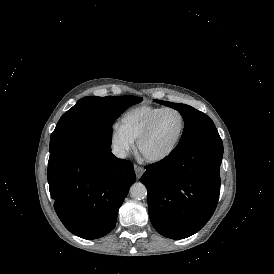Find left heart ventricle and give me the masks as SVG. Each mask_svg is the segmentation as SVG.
Masks as SVG:
<instances>
[{
	"label": "left heart ventricle",
	"instance_id": "left-heart-ventricle-1",
	"mask_svg": "<svg viewBox=\"0 0 274 274\" xmlns=\"http://www.w3.org/2000/svg\"><path fill=\"white\" fill-rule=\"evenodd\" d=\"M182 126V119L176 112H166L150 135L143 141L141 154L145 157H160L173 145Z\"/></svg>",
	"mask_w": 274,
	"mask_h": 274
}]
</instances>
